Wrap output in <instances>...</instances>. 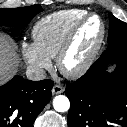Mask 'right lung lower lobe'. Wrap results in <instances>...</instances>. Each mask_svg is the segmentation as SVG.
<instances>
[{"label": "right lung lower lobe", "instance_id": "right-lung-lower-lobe-1", "mask_svg": "<svg viewBox=\"0 0 127 127\" xmlns=\"http://www.w3.org/2000/svg\"><path fill=\"white\" fill-rule=\"evenodd\" d=\"M53 81H29L15 76L0 87V127H33L50 101Z\"/></svg>", "mask_w": 127, "mask_h": 127}]
</instances>
